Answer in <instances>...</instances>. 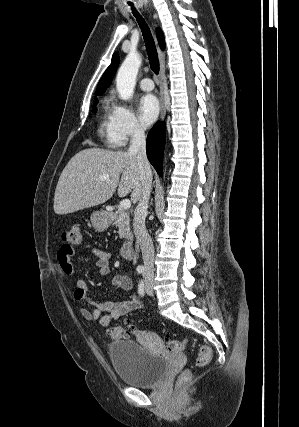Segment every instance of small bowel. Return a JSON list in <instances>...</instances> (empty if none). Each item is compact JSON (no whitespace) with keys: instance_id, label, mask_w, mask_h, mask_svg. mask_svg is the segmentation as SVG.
<instances>
[{"instance_id":"1","label":"small bowel","mask_w":299,"mask_h":427,"mask_svg":"<svg viewBox=\"0 0 299 427\" xmlns=\"http://www.w3.org/2000/svg\"><path fill=\"white\" fill-rule=\"evenodd\" d=\"M92 253L96 256L95 266L98 274L101 276L107 275L109 273V252L94 247L92 248ZM75 255L76 250L71 245L65 244L60 248L57 260L64 274L72 275L76 272V267L72 262V258ZM110 284L126 292L131 291L133 288L132 280L126 275H115ZM88 293L89 286L87 282L83 278H78L76 280L74 299L76 301L88 300ZM141 306V301L135 296L120 302L107 299L103 302L94 303L93 309L82 307L80 309V314L82 318L87 321H98L101 326L108 327L113 320H117L129 312L139 309Z\"/></svg>"}]
</instances>
